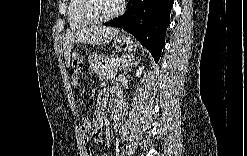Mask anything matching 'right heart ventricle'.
<instances>
[{
  "mask_svg": "<svg viewBox=\"0 0 247 156\" xmlns=\"http://www.w3.org/2000/svg\"><path fill=\"white\" fill-rule=\"evenodd\" d=\"M82 0H71L67 8L68 23L71 28L78 29L89 25L81 16Z\"/></svg>",
  "mask_w": 247,
  "mask_h": 156,
  "instance_id": "right-heart-ventricle-1",
  "label": "right heart ventricle"
}]
</instances>
